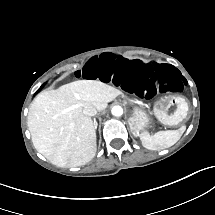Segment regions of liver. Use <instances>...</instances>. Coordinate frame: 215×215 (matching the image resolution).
Segmentation results:
<instances>
[{"label": "liver", "instance_id": "6515ba94", "mask_svg": "<svg viewBox=\"0 0 215 215\" xmlns=\"http://www.w3.org/2000/svg\"><path fill=\"white\" fill-rule=\"evenodd\" d=\"M122 92L97 80H78L39 93L31 103L27 125L35 149L59 167H78L96 154V132L91 105L98 112Z\"/></svg>", "mask_w": 215, "mask_h": 215}]
</instances>
